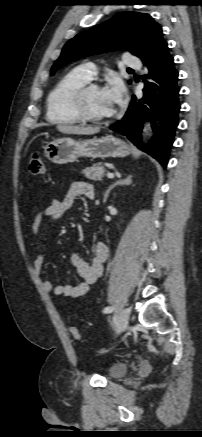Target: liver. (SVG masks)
<instances>
[{
  "mask_svg": "<svg viewBox=\"0 0 202 437\" xmlns=\"http://www.w3.org/2000/svg\"><path fill=\"white\" fill-rule=\"evenodd\" d=\"M56 129L64 134L91 135L100 131V128L74 126V125H57Z\"/></svg>",
  "mask_w": 202,
  "mask_h": 437,
  "instance_id": "1",
  "label": "liver"
}]
</instances>
